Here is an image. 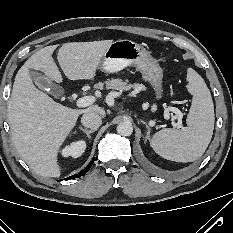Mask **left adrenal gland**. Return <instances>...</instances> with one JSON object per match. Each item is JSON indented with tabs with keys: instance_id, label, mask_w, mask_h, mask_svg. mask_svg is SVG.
Returning <instances> with one entry per match:
<instances>
[{
	"instance_id": "obj_1",
	"label": "left adrenal gland",
	"mask_w": 233,
	"mask_h": 233,
	"mask_svg": "<svg viewBox=\"0 0 233 233\" xmlns=\"http://www.w3.org/2000/svg\"><path fill=\"white\" fill-rule=\"evenodd\" d=\"M143 124H145L146 128H147L146 140L150 141V128H149V126L144 121H143Z\"/></svg>"
}]
</instances>
